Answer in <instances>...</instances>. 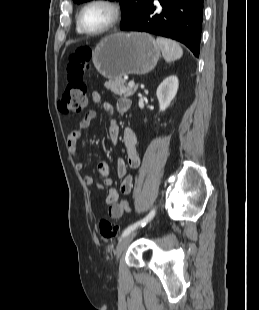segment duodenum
<instances>
[{
    "mask_svg": "<svg viewBox=\"0 0 259 310\" xmlns=\"http://www.w3.org/2000/svg\"><path fill=\"white\" fill-rule=\"evenodd\" d=\"M126 111V109H123L121 112H125Z\"/></svg>",
    "mask_w": 259,
    "mask_h": 310,
    "instance_id": "410a0bca",
    "label": "duodenum"
}]
</instances>
